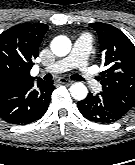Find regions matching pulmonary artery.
Instances as JSON below:
<instances>
[{"label":"pulmonary artery","instance_id":"1","mask_svg":"<svg viewBox=\"0 0 135 165\" xmlns=\"http://www.w3.org/2000/svg\"><path fill=\"white\" fill-rule=\"evenodd\" d=\"M91 49V38L81 35L75 41L71 53L50 66L45 71L61 73L76 68L84 81L94 90H100L101 86L95 79L94 73L88 64V56Z\"/></svg>","mask_w":135,"mask_h":165}]
</instances>
